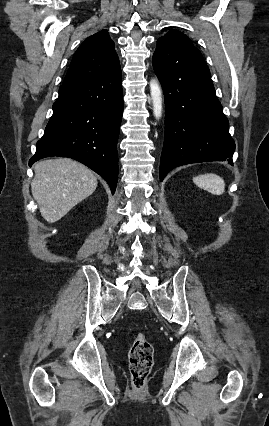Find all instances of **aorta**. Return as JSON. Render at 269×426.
Masks as SVG:
<instances>
[{
	"instance_id": "aorta-1",
	"label": "aorta",
	"mask_w": 269,
	"mask_h": 426,
	"mask_svg": "<svg viewBox=\"0 0 269 426\" xmlns=\"http://www.w3.org/2000/svg\"><path fill=\"white\" fill-rule=\"evenodd\" d=\"M150 94L153 105V114L157 120L162 116V90L156 79L150 81Z\"/></svg>"
}]
</instances>
